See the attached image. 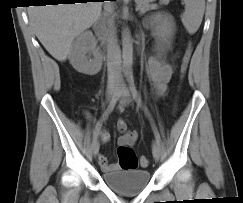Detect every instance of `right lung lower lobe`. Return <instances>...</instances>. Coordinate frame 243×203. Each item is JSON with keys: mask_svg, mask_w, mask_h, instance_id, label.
I'll list each match as a JSON object with an SVG mask.
<instances>
[{"mask_svg": "<svg viewBox=\"0 0 243 203\" xmlns=\"http://www.w3.org/2000/svg\"><path fill=\"white\" fill-rule=\"evenodd\" d=\"M99 1H104V0H99ZM111 1H115V0H111ZM67 3H69V2H67ZM71 3V2H70ZM40 6V5H39Z\"/></svg>", "mask_w": 243, "mask_h": 203, "instance_id": "98d812e1", "label": "right lung lower lobe"}]
</instances>
